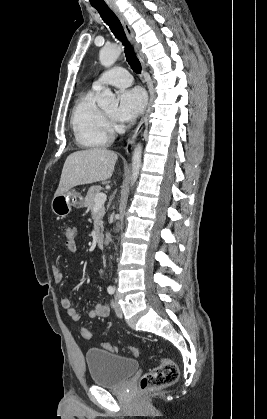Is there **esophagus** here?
I'll use <instances>...</instances> for the list:
<instances>
[{"label": "esophagus", "instance_id": "1", "mask_svg": "<svg viewBox=\"0 0 267 419\" xmlns=\"http://www.w3.org/2000/svg\"><path fill=\"white\" fill-rule=\"evenodd\" d=\"M112 10L116 14V16L119 18V20H120V22H121V24H122V26L124 28V31H125L128 39H129L131 45L133 46V49H134V51H135V53H136V55H137V57H138L141 65H142L143 71L145 72L146 71L145 59H144V56H143V54H142V52L140 50L139 44L135 40L134 32H133L131 26L129 25V23H128L127 19L125 18V16L123 15V13L120 12V10L118 9V7L113 6L112 7ZM146 115H147V111L143 115V117L141 118V120H140L139 124L137 125V127L130 134V136H129L128 140H127L128 144L129 143H132L134 141V139L138 136V134L141 132V130L143 129L144 122H145V119H146Z\"/></svg>", "mask_w": 267, "mask_h": 419}]
</instances>
